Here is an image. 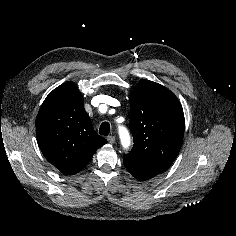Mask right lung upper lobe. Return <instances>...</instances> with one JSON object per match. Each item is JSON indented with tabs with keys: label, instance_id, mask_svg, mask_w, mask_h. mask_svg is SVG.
Instances as JSON below:
<instances>
[{
	"label": "right lung upper lobe",
	"instance_id": "cb5924a9",
	"mask_svg": "<svg viewBox=\"0 0 236 236\" xmlns=\"http://www.w3.org/2000/svg\"><path fill=\"white\" fill-rule=\"evenodd\" d=\"M36 135L45 158L66 175L81 171L107 143L94 131L82 96L71 81L46 97L36 118Z\"/></svg>",
	"mask_w": 236,
	"mask_h": 236
}]
</instances>
